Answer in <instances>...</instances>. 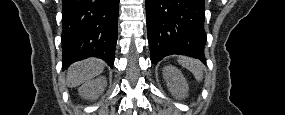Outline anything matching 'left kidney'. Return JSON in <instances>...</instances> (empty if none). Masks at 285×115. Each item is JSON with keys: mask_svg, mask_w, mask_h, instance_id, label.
<instances>
[{"mask_svg": "<svg viewBox=\"0 0 285 115\" xmlns=\"http://www.w3.org/2000/svg\"><path fill=\"white\" fill-rule=\"evenodd\" d=\"M163 76L169 91L178 98H185L189 91V86L182 72L174 66H165Z\"/></svg>", "mask_w": 285, "mask_h": 115, "instance_id": "5707ae66", "label": "left kidney"}]
</instances>
